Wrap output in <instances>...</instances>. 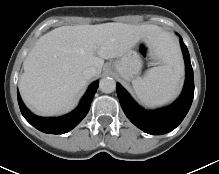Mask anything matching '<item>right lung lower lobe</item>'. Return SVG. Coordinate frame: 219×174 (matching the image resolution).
I'll return each instance as SVG.
<instances>
[{"mask_svg":"<svg viewBox=\"0 0 219 174\" xmlns=\"http://www.w3.org/2000/svg\"><path fill=\"white\" fill-rule=\"evenodd\" d=\"M99 81L92 83L83 96L80 105L71 113L60 118H44L32 114L23 104L19 92L18 103L24 118L36 129L48 134H64L73 129L88 113Z\"/></svg>","mask_w":219,"mask_h":174,"instance_id":"obj_1","label":"right lung lower lobe"}]
</instances>
